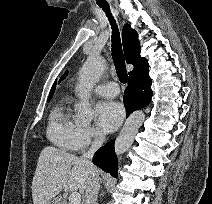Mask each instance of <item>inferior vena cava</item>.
<instances>
[{"mask_svg": "<svg viewBox=\"0 0 212 204\" xmlns=\"http://www.w3.org/2000/svg\"><path fill=\"white\" fill-rule=\"evenodd\" d=\"M105 136L102 133H97L90 149L84 153L80 158L89 167V177L85 190L84 204H98L97 197L100 189L98 174L96 168L93 166L91 160L94 153L103 145Z\"/></svg>", "mask_w": 212, "mask_h": 204, "instance_id": "602c4592", "label": "inferior vena cava"}]
</instances>
